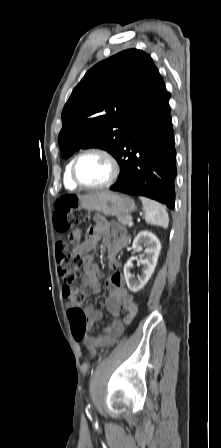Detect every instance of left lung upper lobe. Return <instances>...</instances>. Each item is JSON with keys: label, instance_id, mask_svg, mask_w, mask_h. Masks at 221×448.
I'll use <instances>...</instances> for the list:
<instances>
[{"label": "left lung upper lobe", "instance_id": "obj_1", "mask_svg": "<svg viewBox=\"0 0 221 448\" xmlns=\"http://www.w3.org/2000/svg\"><path fill=\"white\" fill-rule=\"evenodd\" d=\"M165 84L151 57L137 49L122 51L92 67L73 90L62 112L61 155L80 148H101L115 158L142 109Z\"/></svg>", "mask_w": 221, "mask_h": 448}]
</instances>
